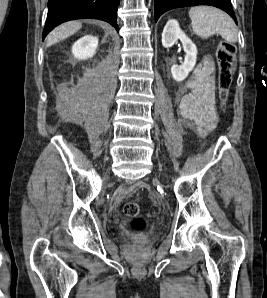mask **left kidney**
I'll list each match as a JSON object with an SVG mask.
<instances>
[{
  "label": "left kidney",
  "instance_id": "1",
  "mask_svg": "<svg viewBox=\"0 0 267 298\" xmlns=\"http://www.w3.org/2000/svg\"><path fill=\"white\" fill-rule=\"evenodd\" d=\"M178 39L182 42L186 56L182 65H173L171 67V73L175 81L182 82L194 69L197 60V47L181 30L176 20H169L162 32V45L165 48L172 47Z\"/></svg>",
  "mask_w": 267,
  "mask_h": 298
}]
</instances>
